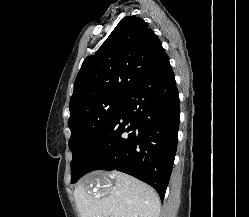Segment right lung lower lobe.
Masks as SVG:
<instances>
[{
    "mask_svg": "<svg viewBox=\"0 0 249 217\" xmlns=\"http://www.w3.org/2000/svg\"><path fill=\"white\" fill-rule=\"evenodd\" d=\"M179 96L164 54L128 92L80 171L118 170L151 185L163 200L177 149Z\"/></svg>",
    "mask_w": 249,
    "mask_h": 217,
    "instance_id": "obj_1",
    "label": "right lung lower lobe"
}]
</instances>
